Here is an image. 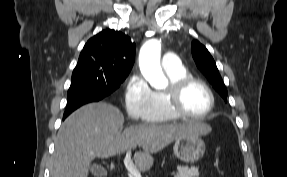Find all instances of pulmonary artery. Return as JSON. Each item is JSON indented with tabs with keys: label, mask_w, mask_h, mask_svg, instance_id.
<instances>
[{
	"label": "pulmonary artery",
	"mask_w": 287,
	"mask_h": 177,
	"mask_svg": "<svg viewBox=\"0 0 287 177\" xmlns=\"http://www.w3.org/2000/svg\"><path fill=\"white\" fill-rule=\"evenodd\" d=\"M178 56L174 52H168L162 59V66L165 70L176 69L180 66Z\"/></svg>",
	"instance_id": "pulmonary-artery-1"
}]
</instances>
